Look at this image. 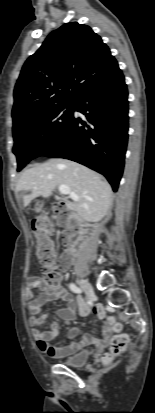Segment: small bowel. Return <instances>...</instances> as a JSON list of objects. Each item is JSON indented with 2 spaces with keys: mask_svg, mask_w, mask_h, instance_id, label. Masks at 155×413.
<instances>
[{
  "mask_svg": "<svg viewBox=\"0 0 155 413\" xmlns=\"http://www.w3.org/2000/svg\"><path fill=\"white\" fill-rule=\"evenodd\" d=\"M35 289L41 290L37 296L34 295ZM25 297L29 300V324L31 326L32 335L36 341L38 349L49 357L55 359L65 358L75 354L88 345L95 344L105 346L108 343L111 333V326L108 323H104L102 325V336L100 338L85 335L80 341L73 342L67 346L56 347L50 345V341L59 337L60 328L58 323L53 321L49 330L41 329L42 323L48 317L47 313L42 312L43 305L54 299H60L63 301L66 306L58 309V315L68 325H70L76 318L77 314L82 317L89 316L91 313L90 305L87 304L82 298H78L77 302H75L71 294L64 286L59 285L58 287L51 288L47 286L40 278H33L27 283ZM76 334L77 329L71 328L69 331V337L73 338Z\"/></svg>",
  "mask_w": 155,
  "mask_h": 413,
  "instance_id": "c3829d8e",
  "label": "small bowel"
}]
</instances>
